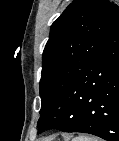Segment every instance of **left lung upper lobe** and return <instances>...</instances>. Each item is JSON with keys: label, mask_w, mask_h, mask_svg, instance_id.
Here are the masks:
<instances>
[{"label": "left lung upper lobe", "mask_w": 119, "mask_h": 141, "mask_svg": "<svg viewBox=\"0 0 119 141\" xmlns=\"http://www.w3.org/2000/svg\"><path fill=\"white\" fill-rule=\"evenodd\" d=\"M118 15L109 0H74L52 24L42 56L40 114L84 71Z\"/></svg>", "instance_id": "5c2ea615"}]
</instances>
